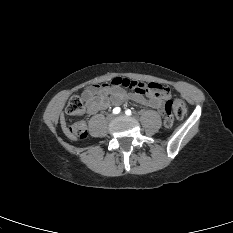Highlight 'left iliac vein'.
Returning <instances> with one entry per match:
<instances>
[{
	"mask_svg": "<svg viewBox=\"0 0 233 233\" xmlns=\"http://www.w3.org/2000/svg\"><path fill=\"white\" fill-rule=\"evenodd\" d=\"M124 114L123 113H120V116H123Z\"/></svg>",
	"mask_w": 233,
	"mask_h": 233,
	"instance_id": "left-iliac-vein-1",
	"label": "left iliac vein"
}]
</instances>
